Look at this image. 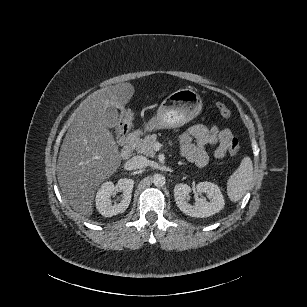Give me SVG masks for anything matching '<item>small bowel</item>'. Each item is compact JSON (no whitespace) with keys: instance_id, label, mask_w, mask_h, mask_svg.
Returning <instances> with one entry per match:
<instances>
[{"instance_id":"c3829d8e","label":"small bowel","mask_w":307,"mask_h":307,"mask_svg":"<svg viewBox=\"0 0 307 307\" xmlns=\"http://www.w3.org/2000/svg\"><path fill=\"white\" fill-rule=\"evenodd\" d=\"M234 139L229 128L220 129L217 124L194 125L180 138V154L195 165L204 167L211 159L208 148H213V158L221 159Z\"/></svg>"}]
</instances>
